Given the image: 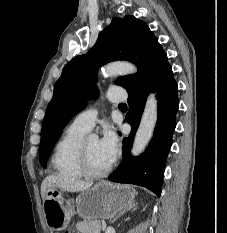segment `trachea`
I'll return each instance as SVG.
<instances>
[{
	"label": "trachea",
	"mask_w": 227,
	"mask_h": 233,
	"mask_svg": "<svg viewBox=\"0 0 227 233\" xmlns=\"http://www.w3.org/2000/svg\"><path fill=\"white\" fill-rule=\"evenodd\" d=\"M119 106H126V104H124V103H120V104H119Z\"/></svg>",
	"instance_id": "trachea-1"
}]
</instances>
